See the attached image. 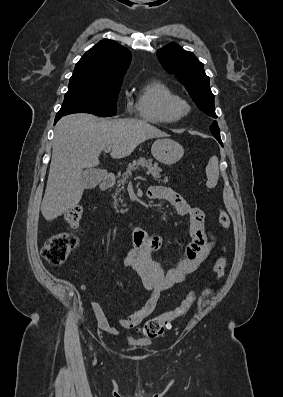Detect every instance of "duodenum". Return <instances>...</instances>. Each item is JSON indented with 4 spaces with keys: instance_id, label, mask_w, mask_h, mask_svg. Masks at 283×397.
I'll list each match as a JSON object with an SVG mask.
<instances>
[{
    "instance_id": "obj_1",
    "label": "duodenum",
    "mask_w": 283,
    "mask_h": 397,
    "mask_svg": "<svg viewBox=\"0 0 283 397\" xmlns=\"http://www.w3.org/2000/svg\"><path fill=\"white\" fill-rule=\"evenodd\" d=\"M114 183H115V177L113 175H107L103 178L100 184V188L102 190H109L113 187Z\"/></svg>"
}]
</instances>
